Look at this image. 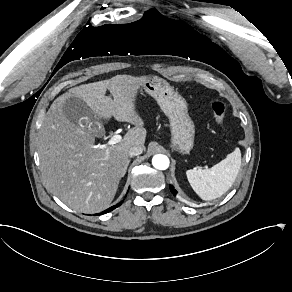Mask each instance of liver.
<instances>
[{"label": "liver", "mask_w": 292, "mask_h": 292, "mask_svg": "<svg viewBox=\"0 0 292 292\" xmlns=\"http://www.w3.org/2000/svg\"><path fill=\"white\" fill-rule=\"evenodd\" d=\"M147 77L116 75L109 80L80 85L59 96L50 106L39 131L38 153L46 186L76 212L93 214L109 207L126 173L128 152L146 138L135 111V97ZM109 90L113 99L105 96ZM82 98L99 118L112 116L135 125L115 145L95 146V137L65 116L66 98Z\"/></svg>", "instance_id": "liver-1"}]
</instances>
